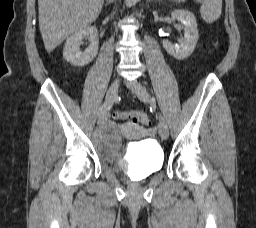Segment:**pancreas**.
Returning <instances> with one entry per match:
<instances>
[{"label": "pancreas", "mask_w": 256, "mask_h": 228, "mask_svg": "<svg viewBox=\"0 0 256 228\" xmlns=\"http://www.w3.org/2000/svg\"><path fill=\"white\" fill-rule=\"evenodd\" d=\"M173 2H185L186 0H171Z\"/></svg>", "instance_id": "pancreas-1"}]
</instances>
